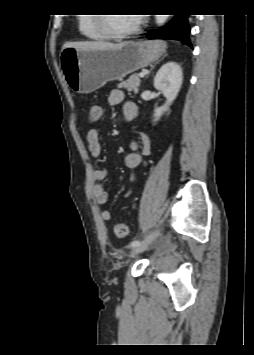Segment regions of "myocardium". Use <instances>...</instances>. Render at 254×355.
Here are the masks:
<instances>
[{
  "label": "myocardium",
  "mask_w": 254,
  "mask_h": 355,
  "mask_svg": "<svg viewBox=\"0 0 254 355\" xmlns=\"http://www.w3.org/2000/svg\"><path fill=\"white\" fill-rule=\"evenodd\" d=\"M101 15H107V14H101ZM107 21H108L107 16H97L96 27L98 31L101 33V35L104 36V38L111 39V40H122V39L129 38L135 35L140 29V24L136 23L135 27H133L132 29H129L121 33H114L109 29Z\"/></svg>",
  "instance_id": "f54148a6"
}]
</instances>
